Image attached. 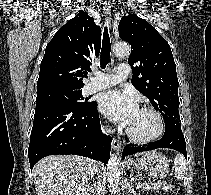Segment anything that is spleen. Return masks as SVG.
<instances>
[{"label": "spleen", "instance_id": "1", "mask_svg": "<svg viewBox=\"0 0 211 195\" xmlns=\"http://www.w3.org/2000/svg\"><path fill=\"white\" fill-rule=\"evenodd\" d=\"M174 164L176 165L175 176L178 179L182 180L186 172V161L183 155L177 154V156L174 159Z\"/></svg>", "mask_w": 211, "mask_h": 195}]
</instances>
